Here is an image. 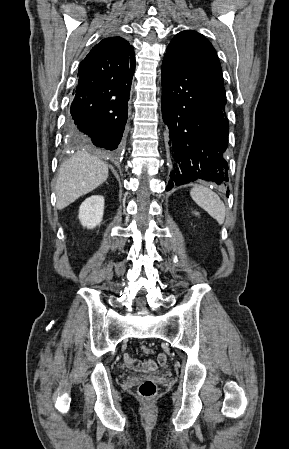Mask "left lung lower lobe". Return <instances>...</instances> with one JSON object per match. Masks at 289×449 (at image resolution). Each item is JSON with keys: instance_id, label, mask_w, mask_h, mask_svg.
<instances>
[{"instance_id": "obj_1", "label": "left lung lower lobe", "mask_w": 289, "mask_h": 449, "mask_svg": "<svg viewBox=\"0 0 289 449\" xmlns=\"http://www.w3.org/2000/svg\"><path fill=\"white\" fill-rule=\"evenodd\" d=\"M225 105L223 81L210 69L190 58L165 54L162 116L172 162L167 191L198 179L218 185L229 181Z\"/></svg>"}]
</instances>
